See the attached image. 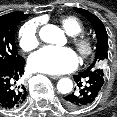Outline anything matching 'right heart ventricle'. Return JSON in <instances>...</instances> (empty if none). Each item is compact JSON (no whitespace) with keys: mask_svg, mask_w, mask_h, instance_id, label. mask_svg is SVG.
Instances as JSON below:
<instances>
[{"mask_svg":"<svg viewBox=\"0 0 117 117\" xmlns=\"http://www.w3.org/2000/svg\"><path fill=\"white\" fill-rule=\"evenodd\" d=\"M60 23L69 35H79L83 32L82 22L75 16H65L60 19Z\"/></svg>","mask_w":117,"mask_h":117,"instance_id":"obj_1","label":"right heart ventricle"}]
</instances>
